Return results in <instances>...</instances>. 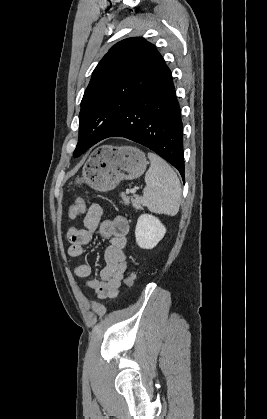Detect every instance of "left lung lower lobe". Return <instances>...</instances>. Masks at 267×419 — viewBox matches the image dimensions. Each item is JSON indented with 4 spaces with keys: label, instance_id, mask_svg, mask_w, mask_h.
<instances>
[{
    "label": "left lung lower lobe",
    "instance_id": "obj_1",
    "mask_svg": "<svg viewBox=\"0 0 267 419\" xmlns=\"http://www.w3.org/2000/svg\"><path fill=\"white\" fill-rule=\"evenodd\" d=\"M182 136L179 102L171 71L164 64L125 111L100 124L89 146L108 137L130 139L171 163L184 180Z\"/></svg>",
    "mask_w": 267,
    "mask_h": 419
}]
</instances>
